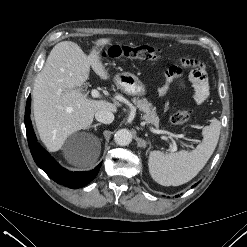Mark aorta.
I'll use <instances>...</instances> for the list:
<instances>
[{
	"mask_svg": "<svg viewBox=\"0 0 247 247\" xmlns=\"http://www.w3.org/2000/svg\"><path fill=\"white\" fill-rule=\"evenodd\" d=\"M114 141L119 146H127L132 141V133L128 129H120L115 133Z\"/></svg>",
	"mask_w": 247,
	"mask_h": 247,
	"instance_id": "762f6f07",
	"label": "aorta"
}]
</instances>
